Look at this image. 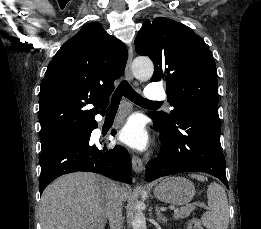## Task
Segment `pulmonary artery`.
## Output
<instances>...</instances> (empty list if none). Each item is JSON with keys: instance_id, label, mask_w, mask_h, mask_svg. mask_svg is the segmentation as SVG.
Returning <instances> with one entry per match:
<instances>
[{"instance_id": "e3ab8cb5", "label": "pulmonary artery", "mask_w": 261, "mask_h": 229, "mask_svg": "<svg viewBox=\"0 0 261 229\" xmlns=\"http://www.w3.org/2000/svg\"><path fill=\"white\" fill-rule=\"evenodd\" d=\"M162 87V84H149L148 88L150 89V91H147L146 96L149 99H161L165 95Z\"/></svg>"}]
</instances>
